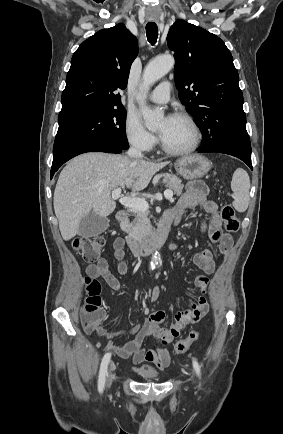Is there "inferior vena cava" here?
<instances>
[{
  "mask_svg": "<svg viewBox=\"0 0 283 434\" xmlns=\"http://www.w3.org/2000/svg\"><path fill=\"white\" fill-rule=\"evenodd\" d=\"M127 154L129 157H131L133 159H142L143 158V154H142L141 150L136 146L131 147L128 150Z\"/></svg>",
  "mask_w": 283,
  "mask_h": 434,
  "instance_id": "inferior-vena-cava-1",
  "label": "inferior vena cava"
}]
</instances>
